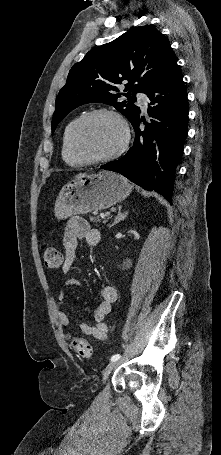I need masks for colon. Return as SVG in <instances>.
<instances>
[{
  "mask_svg": "<svg viewBox=\"0 0 221 455\" xmlns=\"http://www.w3.org/2000/svg\"><path fill=\"white\" fill-rule=\"evenodd\" d=\"M43 261L49 268H59L63 264V256L61 252L52 246H46L43 249ZM74 351L82 358H90L92 356V347L88 341L79 337L68 336Z\"/></svg>",
  "mask_w": 221,
  "mask_h": 455,
  "instance_id": "1",
  "label": "colon"
}]
</instances>
